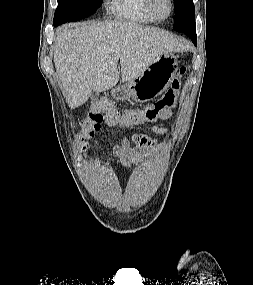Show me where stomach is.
I'll return each instance as SVG.
<instances>
[{
  "mask_svg": "<svg viewBox=\"0 0 253 285\" xmlns=\"http://www.w3.org/2000/svg\"><path fill=\"white\" fill-rule=\"evenodd\" d=\"M177 70L176 56L171 52L164 53L138 77L112 88L111 95L117 100L133 99L139 103L148 102L167 90Z\"/></svg>",
  "mask_w": 253,
  "mask_h": 285,
  "instance_id": "stomach-1",
  "label": "stomach"
}]
</instances>
